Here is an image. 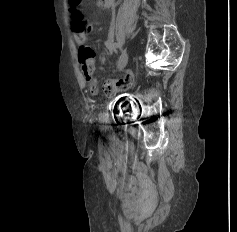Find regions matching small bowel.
Wrapping results in <instances>:
<instances>
[{
	"instance_id": "c3829d8e",
	"label": "small bowel",
	"mask_w": 237,
	"mask_h": 232,
	"mask_svg": "<svg viewBox=\"0 0 237 232\" xmlns=\"http://www.w3.org/2000/svg\"><path fill=\"white\" fill-rule=\"evenodd\" d=\"M74 39L78 46V56L79 62L81 64L83 76L87 84V88L92 95H95L98 91V81L95 76V67H94V49L87 44V37L85 33H75ZM111 41L106 43L108 50L113 51L115 48L112 46ZM132 73L126 72L119 79H110L106 81L104 85V91L107 95L112 96L116 92L126 89L132 83Z\"/></svg>"
}]
</instances>
